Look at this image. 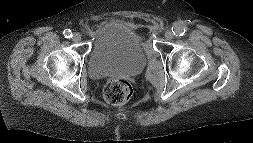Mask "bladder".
I'll use <instances>...</instances> for the list:
<instances>
[{
  "label": "bladder",
  "mask_w": 253,
  "mask_h": 143,
  "mask_svg": "<svg viewBox=\"0 0 253 143\" xmlns=\"http://www.w3.org/2000/svg\"><path fill=\"white\" fill-rule=\"evenodd\" d=\"M149 54L142 32L120 18L103 20L93 37L88 72L93 78L134 76L146 67Z\"/></svg>",
  "instance_id": "31cf9c89"
}]
</instances>
